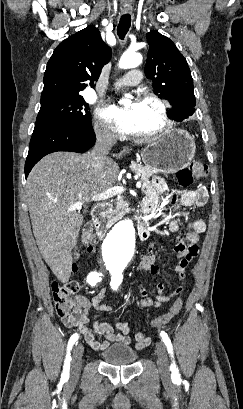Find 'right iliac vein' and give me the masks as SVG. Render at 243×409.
Instances as JSON below:
<instances>
[{
    "label": "right iliac vein",
    "mask_w": 243,
    "mask_h": 409,
    "mask_svg": "<svg viewBox=\"0 0 243 409\" xmlns=\"http://www.w3.org/2000/svg\"><path fill=\"white\" fill-rule=\"evenodd\" d=\"M83 352H84L83 345L76 344L73 349L72 378H77L80 373Z\"/></svg>",
    "instance_id": "1"
}]
</instances>
